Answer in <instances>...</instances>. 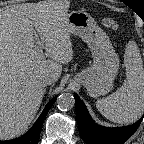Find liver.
Segmentation results:
<instances>
[{
    "mask_svg": "<svg viewBox=\"0 0 144 144\" xmlns=\"http://www.w3.org/2000/svg\"><path fill=\"white\" fill-rule=\"evenodd\" d=\"M69 8L67 0H48L0 11V138L26 130L43 100L41 78L57 81L73 60Z\"/></svg>",
    "mask_w": 144,
    "mask_h": 144,
    "instance_id": "6515ba94",
    "label": "liver"
}]
</instances>
